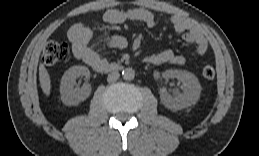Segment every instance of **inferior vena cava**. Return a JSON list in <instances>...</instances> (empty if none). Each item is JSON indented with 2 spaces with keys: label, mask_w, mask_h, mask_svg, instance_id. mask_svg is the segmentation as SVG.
<instances>
[{
  "label": "inferior vena cava",
  "mask_w": 259,
  "mask_h": 156,
  "mask_svg": "<svg viewBox=\"0 0 259 156\" xmlns=\"http://www.w3.org/2000/svg\"><path fill=\"white\" fill-rule=\"evenodd\" d=\"M119 77H120L119 72H118V71H113V72H111V73L108 75L107 81H108V82H115V81H117V80L119 79Z\"/></svg>",
  "instance_id": "602c4592"
}]
</instances>
